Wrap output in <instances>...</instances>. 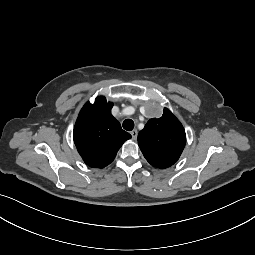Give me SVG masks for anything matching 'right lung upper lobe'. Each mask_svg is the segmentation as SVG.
<instances>
[{
	"mask_svg": "<svg viewBox=\"0 0 255 255\" xmlns=\"http://www.w3.org/2000/svg\"><path fill=\"white\" fill-rule=\"evenodd\" d=\"M113 103L99 96L81 109L75 123L73 138L84 162L94 168H103L115 158L123 143L131 135L121 128L112 116Z\"/></svg>",
	"mask_w": 255,
	"mask_h": 255,
	"instance_id": "right-lung-upper-lobe-1",
	"label": "right lung upper lobe"
}]
</instances>
